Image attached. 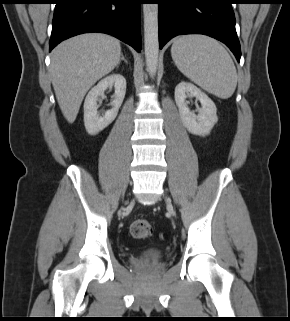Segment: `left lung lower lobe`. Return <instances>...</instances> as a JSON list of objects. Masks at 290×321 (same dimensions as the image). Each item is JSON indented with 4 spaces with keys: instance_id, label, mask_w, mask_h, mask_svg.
Here are the masks:
<instances>
[{
    "instance_id": "0a47b994",
    "label": "left lung lower lobe",
    "mask_w": 290,
    "mask_h": 321,
    "mask_svg": "<svg viewBox=\"0 0 290 321\" xmlns=\"http://www.w3.org/2000/svg\"><path fill=\"white\" fill-rule=\"evenodd\" d=\"M234 0H156L159 4L160 49L173 37L204 34L225 43L240 61Z\"/></svg>"
}]
</instances>
